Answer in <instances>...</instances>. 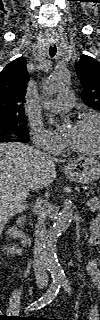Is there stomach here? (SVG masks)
<instances>
[{
  "mask_svg": "<svg viewBox=\"0 0 100 320\" xmlns=\"http://www.w3.org/2000/svg\"><path fill=\"white\" fill-rule=\"evenodd\" d=\"M65 174L77 183H92L100 178V162L90 157L78 158L66 167Z\"/></svg>",
  "mask_w": 100,
  "mask_h": 320,
  "instance_id": "1",
  "label": "stomach"
}]
</instances>
